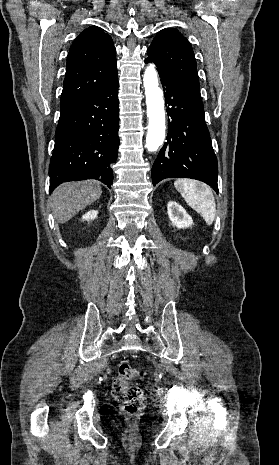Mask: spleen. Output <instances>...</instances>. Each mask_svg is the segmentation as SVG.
<instances>
[{
    "label": "spleen",
    "instance_id": "3e777b00",
    "mask_svg": "<svg viewBox=\"0 0 279 465\" xmlns=\"http://www.w3.org/2000/svg\"><path fill=\"white\" fill-rule=\"evenodd\" d=\"M187 204L198 212L211 225L216 216V203L212 190L191 179H177L174 182Z\"/></svg>",
    "mask_w": 279,
    "mask_h": 465
}]
</instances>
